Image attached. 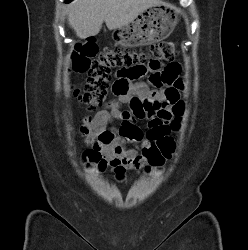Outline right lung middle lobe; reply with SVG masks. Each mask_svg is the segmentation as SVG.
I'll list each match as a JSON object with an SVG mask.
<instances>
[{"label":"right lung middle lobe","mask_w":248,"mask_h":250,"mask_svg":"<svg viewBox=\"0 0 248 250\" xmlns=\"http://www.w3.org/2000/svg\"><path fill=\"white\" fill-rule=\"evenodd\" d=\"M71 0H67L66 2L68 3V2H70Z\"/></svg>","instance_id":"obj_1"}]
</instances>
